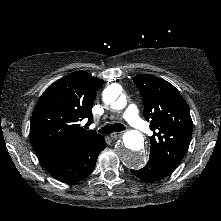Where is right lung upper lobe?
<instances>
[{"instance_id": "right-lung-upper-lobe-1", "label": "right lung upper lobe", "mask_w": 221, "mask_h": 221, "mask_svg": "<svg viewBox=\"0 0 221 221\" xmlns=\"http://www.w3.org/2000/svg\"><path fill=\"white\" fill-rule=\"evenodd\" d=\"M104 81L76 71L51 84L40 97L32 115L30 138L39 159L57 156L93 143L102 136L79 125L92 123L91 108Z\"/></svg>"}]
</instances>
